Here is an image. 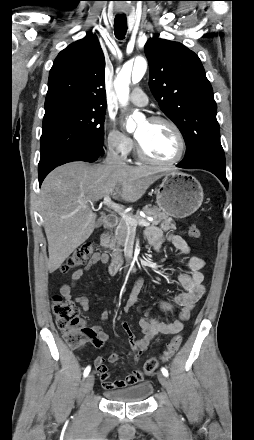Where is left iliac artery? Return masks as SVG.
<instances>
[{
  "mask_svg": "<svg viewBox=\"0 0 254 440\" xmlns=\"http://www.w3.org/2000/svg\"><path fill=\"white\" fill-rule=\"evenodd\" d=\"M161 371H162V373H163V375H164L165 377H168L169 373H168V371H167L166 368L162 367V368H161Z\"/></svg>",
  "mask_w": 254,
  "mask_h": 440,
  "instance_id": "44dca946",
  "label": "left iliac artery"
}]
</instances>
